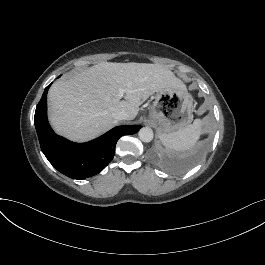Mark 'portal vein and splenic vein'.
Segmentation results:
<instances>
[{"label":"portal vein and splenic vein","instance_id":"18ae733b","mask_svg":"<svg viewBox=\"0 0 265 265\" xmlns=\"http://www.w3.org/2000/svg\"><path fill=\"white\" fill-rule=\"evenodd\" d=\"M124 93H130L131 94V93H134V90L120 89L119 93L117 95V99L120 100L123 97Z\"/></svg>","mask_w":265,"mask_h":265}]
</instances>
